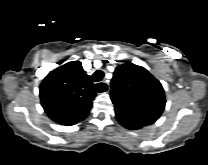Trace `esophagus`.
<instances>
[{
    "label": "esophagus",
    "mask_w": 208,
    "mask_h": 165,
    "mask_svg": "<svg viewBox=\"0 0 208 165\" xmlns=\"http://www.w3.org/2000/svg\"><path fill=\"white\" fill-rule=\"evenodd\" d=\"M98 84H100V85L106 87V91H105V92H109V90H110L109 83H107V82H100V83H98ZM95 85H96V84H95Z\"/></svg>",
    "instance_id": "obj_1"
}]
</instances>
